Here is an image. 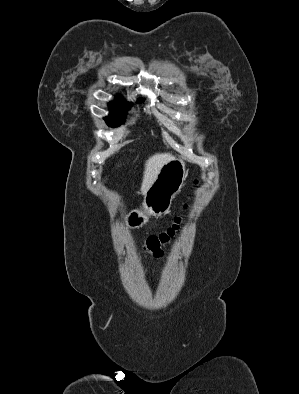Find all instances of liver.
I'll return each mask as SVG.
<instances>
[{"mask_svg": "<svg viewBox=\"0 0 299 394\" xmlns=\"http://www.w3.org/2000/svg\"><path fill=\"white\" fill-rule=\"evenodd\" d=\"M173 157L169 153H157L146 161L145 169L143 174V180L141 184V192L143 195L153 184L162 166L172 159Z\"/></svg>", "mask_w": 299, "mask_h": 394, "instance_id": "1", "label": "liver"}]
</instances>
